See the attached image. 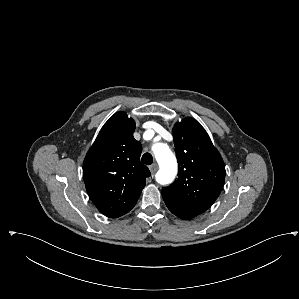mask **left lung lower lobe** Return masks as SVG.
Wrapping results in <instances>:
<instances>
[{
	"instance_id": "1",
	"label": "left lung lower lobe",
	"mask_w": 299,
	"mask_h": 299,
	"mask_svg": "<svg viewBox=\"0 0 299 299\" xmlns=\"http://www.w3.org/2000/svg\"><path fill=\"white\" fill-rule=\"evenodd\" d=\"M163 199L168 209L177 217H180L182 219H191L198 215L190 210L181 207L180 205H178L177 203H175L173 200H171L166 196H163Z\"/></svg>"
}]
</instances>
